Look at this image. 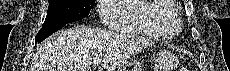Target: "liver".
Wrapping results in <instances>:
<instances>
[{
	"mask_svg": "<svg viewBox=\"0 0 230 71\" xmlns=\"http://www.w3.org/2000/svg\"><path fill=\"white\" fill-rule=\"evenodd\" d=\"M152 42L141 37L110 31L72 27L43 41L32 59L31 71H88L94 58L103 56L101 66L114 71Z\"/></svg>",
	"mask_w": 230,
	"mask_h": 71,
	"instance_id": "1",
	"label": "liver"
}]
</instances>
